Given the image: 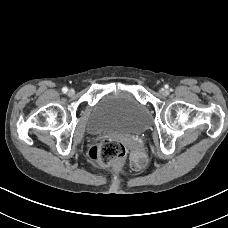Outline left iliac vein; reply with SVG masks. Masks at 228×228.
<instances>
[{"mask_svg":"<svg viewBox=\"0 0 228 228\" xmlns=\"http://www.w3.org/2000/svg\"><path fill=\"white\" fill-rule=\"evenodd\" d=\"M160 94L166 96V95H168V90L162 88V89H160Z\"/></svg>","mask_w":228,"mask_h":228,"instance_id":"obj_1","label":"left iliac vein"}]
</instances>
